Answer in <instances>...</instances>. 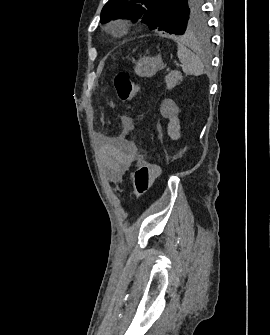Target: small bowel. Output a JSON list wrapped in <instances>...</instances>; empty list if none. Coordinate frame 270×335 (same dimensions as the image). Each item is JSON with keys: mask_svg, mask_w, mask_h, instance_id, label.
<instances>
[{"mask_svg": "<svg viewBox=\"0 0 270 335\" xmlns=\"http://www.w3.org/2000/svg\"><path fill=\"white\" fill-rule=\"evenodd\" d=\"M125 130L133 129L128 118L122 119ZM100 155L113 183L121 184L136 161L133 144L123 135L115 138L99 137Z\"/></svg>", "mask_w": 270, "mask_h": 335, "instance_id": "1", "label": "small bowel"}]
</instances>
